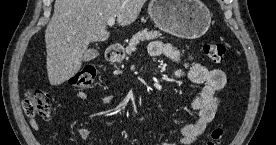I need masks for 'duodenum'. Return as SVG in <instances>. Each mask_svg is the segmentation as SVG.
<instances>
[{
	"label": "duodenum",
	"instance_id": "410a0bca",
	"mask_svg": "<svg viewBox=\"0 0 276 145\" xmlns=\"http://www.w3.org/2000/svg\"><path fill=\"white\" fill-rule=\"evenodd\" d=\"M123 54V47L119 45H112L107 50V57L110 61L118 60Z\"/></svg>",
	"mask_w": 276,
	"mask_h": 145
}]
</instances>
